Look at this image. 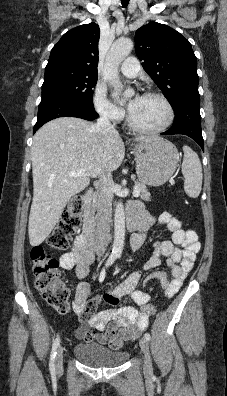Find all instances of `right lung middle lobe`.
Listing matches in <instances>:
<instances>
[{"label": "right lung middle lobe", "instance_id": "1", "mask_svg": "<svg viewBox=\"0 0 227 396\" xmlns=\"http://www.w3.org/2000/svg\"><path fill=\"white\" fill-rule=\"evenodd\" d=\"M97 75L53 70L46 71L42 85V100L65 98L80 103L83 106L94 108L93 90Z\"/></svg>", "mask_w": 227, "mask_h": 396}]
</instances>
